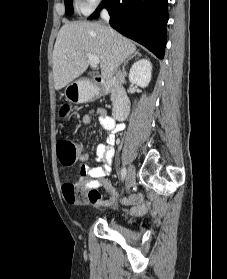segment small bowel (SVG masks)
<instances>
[{
    "mask_svg": "<svg viewBox=\"0 0 227 279\" xmlns=\"http://www.w3.org/2000/svg\"><path fill=\"white\" fill-rule=\"evenodd\" d=\"M95 114L98 117L99 124L108 131V135L105 142L100 144L96 149V163L98 166L88 164L90 160V155L86 151H81L79 154V162L82 164L80 174L86 181H80V184L84 187L90 188H105L109 194L113 197H117L119 194L112 184L107 180V177L111 173V163L114 156V145L116 142V136L114 131H120L123 129L121 124H117L111 117L107 115L106 110L96 109L88 112L82 117V124L87 125L91 116ZM64 197L66 201L70 204H77L80 199L76 196L74 190L64 189ZM124 204H135L138 205L131 207L130 211L133 214H143L146 207L141 202V197L139 195H130L123 197ZM90 203L93 205H101L103 203L102 196L90 199Z\"/></svg>",
    "mask_w": 227,
    "mask_h": 279,
    "instance_id": "c3829d8e",
    "label": "small bowel"
}]
</instances>
